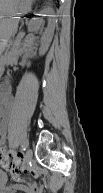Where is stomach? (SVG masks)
Here are the masks:
<instances>
[{
    "mask_svg": "<svg viewBox=\"0 0 103 193\" xmlns=\"http://www.w3.org/2000/svg\"><path fill=\"white\" fill-rule=\"evenodd\" d=\"M4 1L2 4L1 2ZM34 0H1V15L3 17L14 16L27 13L31 10V5ZM12 28L6 23L2 26L1 48L4 49L7 43V37L11 34Z\"/></svg>",
    "mask_w": 103,
    "mask_h": 193,
    "instance_id": "1",
    "label": "stomach"
}]
</instances>
